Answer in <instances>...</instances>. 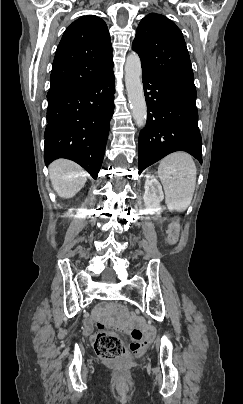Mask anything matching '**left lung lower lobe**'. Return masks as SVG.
Segmentation results:
<instances>
[{"label":"left lung lower lobe","instance_id":"0a47b994","mask_svg":"<svg viewBox=\"0 0 243 404\" xmlns=\"http://www.w3.org/2000/svg\"><path fill=\"white\" fill-rule=\"evenodd\" d=\"M147 123L139 135V174L175 151H186L202 164L194 82L142 71Z\"/></svg>","mask_w":243,"mask_h":404}]
</instances>
